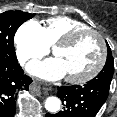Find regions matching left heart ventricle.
I'll return each mask as SVG.
<instances>
[{
	"instance_id": "1",
	"label": "left heart ventricle",
	"mask_w": 117,
	"mask_h": 117,
	"mask_svg": "<svg viewBox=\"0 0 117 117\" xmlns=\"http://www.w3.org/2000/svg\"><path fill=\"white\" fill-rule=\"evenodd\" d=\"M100 44L93 34H84L70 46L58 48L55 57L64 68L65 76L76 77L89 72L100 57Z\"/></svg>"
}]
</instances>
